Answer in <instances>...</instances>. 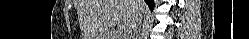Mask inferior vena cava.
<instances>
[{
	"mask_svg": "<svg viewBox=\"0 0 249 39\" xmlns=\"http://www.w3.org/2000/svg\"><path fill=\"white\" fill-rule=\"evenodd\" d=\"M135 1V6H137V13L135 14L134 20L131 23V26L127 29L126 32V36L132 37V33L137 32V28L140 25V20H141V15H142V11H141V5H140V1L141 0H133Z\"/></svg>",
	"mask_w": 249,
	"mask_h": 39,
	"instance_id": "1",
	"label": "inferior vena cava"
}]
</instances>
